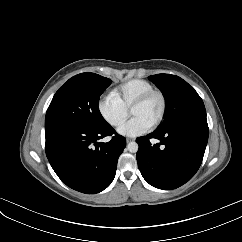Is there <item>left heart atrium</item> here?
I'll return each mask as SVG.
<instances>
[{
  "label": "left heart atrium",
  "mask_w": 242,
  "mask_h": 242,
  "mask_svg": "<svg viewBox=\"0 0 242 242\" xmlns=\"http://www.w3.org/2000/svg\"><path fill=\"white\" fill-rule=\"evenodd\" d=\"M150 125L138 117H132L118 128V133L123 136L135 137L149 130Z\"/></svg>",
  "instance_id": "39dd6f15"
}]
</instances>
